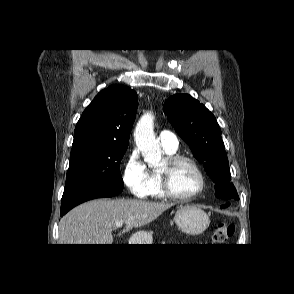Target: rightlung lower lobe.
Instances as JSON below:
<instances>
[{"instance_id": "obj_1", "label": "right lung lower lobe", "mask_w": 294, "mask_h": 294, "mask_svg": "<svg viewBox=\"0 0 294 294\" xmlns=\"http://www.w3.org/2000/svg\"><path fill=\"white\" fill-rule=\"evenodd\" d=\"M122 189L123 188L87 189L79 191L69 197L62 198L61 216L85 201L95 198L113 197L120 194Z\"/></svg>"}]
</instances>
